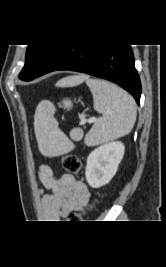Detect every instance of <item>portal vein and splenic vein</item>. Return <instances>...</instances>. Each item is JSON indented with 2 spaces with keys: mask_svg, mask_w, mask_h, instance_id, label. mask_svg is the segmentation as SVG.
<instances>
[{
  "mask_svg": "<svg viewBox=\"0 0 166 267\" xmlns=\"http://www.w3.org/2000/svg\"><path fill=\"white\" fill-rule=\"evenodd\" d=\"M94 121H95V119H94V118H91V119L85 120L84 122L92 123V122H94Z\"/></svg>",
  "mask_w": 166,
  "mask_h": 267,
  "instance_id": "1",
  "label": "portal vein and splenic vein"
}]
</instances>
